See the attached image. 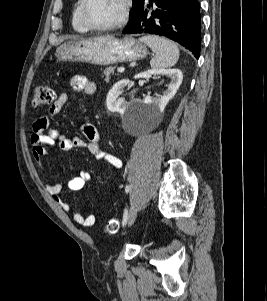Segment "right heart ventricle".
Masks as SVG:
<instances>
[{"instance_id":"obj_1","label":"right heart ventricle","mask_w":267,"mask_h":301,"mask_svg":"<svg viewBox=\"0 0 267 301\" xmlns=\"http://www.w3.org/2000/svg\"><path fill=\"white\" fill-rule=\"evenodd\" d=\"M81 4L82 0H76L72 15V26L75 31L79 33H86L89 31V29L83 23L81 18Z\"/></svg>"}]
</instances>
